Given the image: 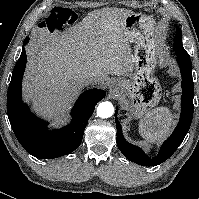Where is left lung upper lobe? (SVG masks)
<instances>
[{"mask_svg":"<svg viewBox=\"0 0 199 199\" xmlns=\"http://www.w3.org/2000/svg\"><path fill=\"white\" fill-rule=\"evenodd\" d=\"M174 48L176 55L182 54L187 60L191 61L189 54L184 50L182 44V32L179 28L176 29Z\"/></svg>","mask_w":199,"mask_h":199,"instance_id":"left-lung-upper-lobe-1","label":"left lung upper lobe"}]
</instances>
